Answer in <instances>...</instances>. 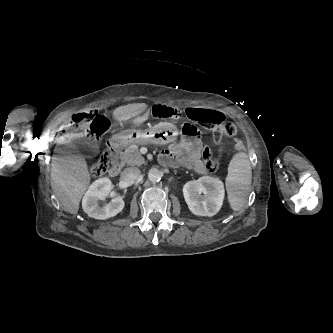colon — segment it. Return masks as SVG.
<instances>
[{
	"label": "colon",
	"instance_id": "colon-1",
	"mask_svg": "<svg viewBox=\"0 0 333 333\" xmlns=\"http://www.w3.org/2000/svg\"><path fill=\"white\" fill-rule=\"evenodd\" d=\"M91 112H84L74 114L69 122V127L74 129H81L85 132L87 138L93 146L99 143L100 137L108 128V122L103 117H92ZM148 115L155 119H165V118H176L178 116L177 111L174 109L163 106L156 105L153 106L149 111ZM187 115L192 120H201V112L197 109H188ZM212 129V136L216 143H220L225 137L234 136L237 132L236 127L231 122H217L209 124ZM183 134L192 137L196 136V130L190 125H185L183 127ZM66 130H63L61 134H65ZM234 148L237 152H242L245 148V142L243 140H237L234 143ZM202 158L204 160L205 170L207 172H214L218 169L220 163V156H214L208 147L202 150ZM110 155L107 151H104L97 163L91 166L92 175H100L104 173L109 165Z\"/></svg>",
	"mask_w": 333,
	"mask_h": 333
}]
</instances>
